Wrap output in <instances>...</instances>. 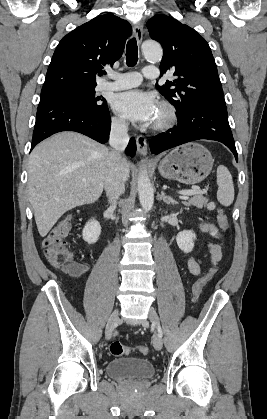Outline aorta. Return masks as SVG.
I'll return each mask as SVG.
<instances>
[{"label":"aorta","instance_id":"1","mask_svg":"<svg viewBox=\"0 0 267 419\" xmlns=\"http://www.w3.org/2000/svg\"><path fill=\"white\" fill-rule=\"evenodd\" d=\"M142 52L145 58L151 62H159L162 59L163 50L161 46L153 41H146L142 44ZM138 195L143 210L150 211L154 203V190L145 167L140 169L138 177Z\"/></svg>","mask_w":267,"mask_h":419}]
</instances>
